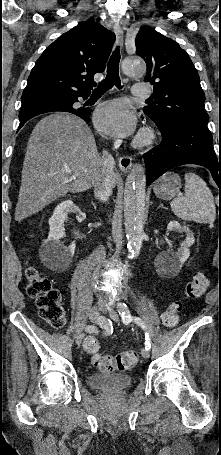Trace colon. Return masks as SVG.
<instances>
[{
  "instance_id": "1",
  "label": "colon",
  "mask_w": 221,
  "mask_h": 455,
  "mask_svg": "<svg viewBox=\"0 0 221 455\" xmlns=\"http://www.w3.org/2000/svg\"><path fill=\"white\" fill-rule=\"evenodd\" d=\"M25 277L28 282L27 293L36 299L41 318L53 328H62L66 317L60 293L52 287L50 280L34 266L26 268ZM207 286V277L204 274H197L186 285L184 297L189 299L200 297L205 293ZM181 311V301L170 303L161 316L162 324L167 328H174L179 321ZM84 350L92 355L93 365L106 373L131 369L139 360L138 353L135 351H125L116 355L99 354L100 344L94 337L85 339Z\"/></svg>"
}]
</instances>
